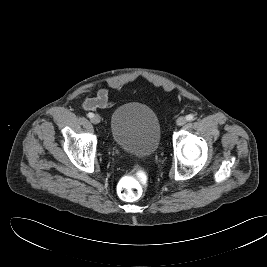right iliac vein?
Segmentation results:
<instances>
[{
  "label": "right iliac vein",
  "mask_w": 267,
  "mask_h": 267,
  "mask_svg": "<svg viewBox=\"0 0 267 267\" xmlns=\"http://www.w3.org/2000/svg\"><path fill=\"white\" fill-rule=\"evenodd\" d=\"M100 121H101V119H100V116H99V115H94V116L91 118V122H92L93 124H99Z\"/></svg>",
  "instance_id": "obj_1"
}]
</instances>
